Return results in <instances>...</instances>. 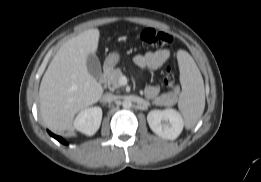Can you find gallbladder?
<instances>
[{"mask_svg": "<svg viewBox=\"0 0 261 182\" xmlns=\"http://www.w3.org/2000/svg\"><path fill=\"white\" fill-rule=\"evenodd\" d=\"M87 69L89 74L93 76L95 79L100 78L102 74L101 65L96 55L90 54L87 57Z\"/></svg>", "mask_w": 261, "mask_h": 182, "instance_id": "bac80fb5", "label": "gallbladder"}]
</instances>
